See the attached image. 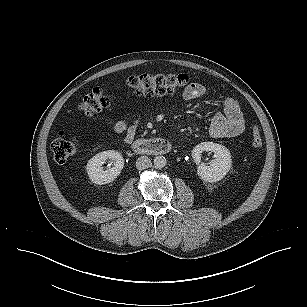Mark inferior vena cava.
I'll return each mask as SVG.
<instances>
[{"instance_id":"inferior-vena-cava-1","label":"inferior vena cava","mask_w":307,"mask_h":307,"mask_svg":"<svg viewBox=\"0 0 307 307\" xmlns=\"http://www.w3.org/2000/svg\"><path fill=\"white\" fill-rule=\"evenodd\" d=\"M151 165H152L151 160L147 156H140L136 160V167L139 170H143V169L149 168V167H151Z\"/></svg>"}]
</instances>
